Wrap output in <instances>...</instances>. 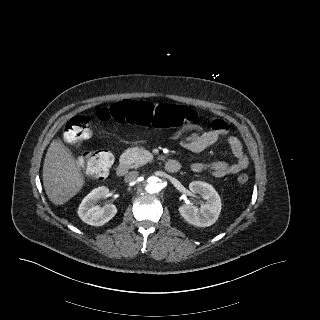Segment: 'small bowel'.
<instances>
[{"instance_id":"1","label":"small bowel","mask_w":320,"mask_h":320,"mask_svg":"<svg viewBox=\"0 0 320 320\" xmlns=\"http://www.w3.org/2000/svg\"><path fill=\"white\" fill-rule=\"evenodd\" d=\"M228 131V124L222 119H216L212 122L209 131L203 130L198 124L188 123L173 137L180 139L181 147L192 153H201L221 137H225L235 157L234 162L218 160L209 163L195 162L191 165V170L195 173L209 171L215 177H224L245 170L249 164L241 141L236 136L228 135Z\"/></svg>"}]
</instances>
